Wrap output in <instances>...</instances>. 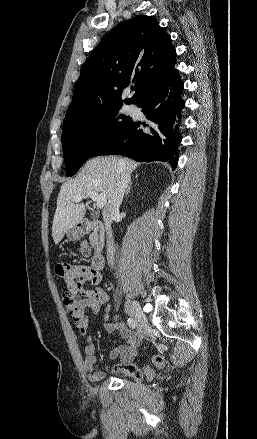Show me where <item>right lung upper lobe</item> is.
<instances>
[{"mask_svg":"<svg viewBox=\"0 0 257 439\" xmlns=\"http://www.w3.org/2000/svg\"><path fill=\"white\" fill-rule=\"evenodd\" d=\"M175 57L170 35L153 17L138 15L118 24L83 65L64 121L123 102L138 104L175 70ZM130 83H135V94L123 101Z\"/></svg>","mask_w":257,"mask_h":439,"instance_id":"1","label":"right lung upper lobe"}]
</instances>
